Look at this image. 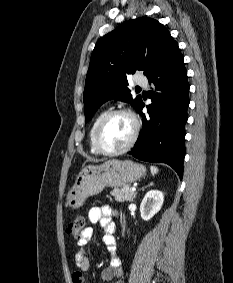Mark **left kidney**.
<instances>
[{"label":"left kidney","mask_w":233,"mask_h":283,"mask_svg":"<svg viewBox=\"0 0 233 283\" xmlns=\"http://www.w3.org/2000/svg\"><path fill=\"white\" fill-rule=\"evenodd\" d=\"M164 202V195L161 191L151 190L146 193L140 205L141 217L143 220H150L160 211Z\"/></svg>","instance_id":"1"}]
</instances>
